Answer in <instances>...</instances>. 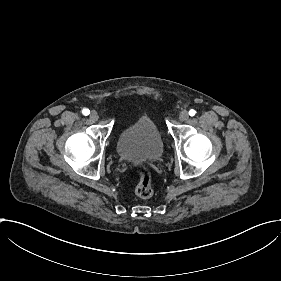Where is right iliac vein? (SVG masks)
<instances>
[{"label":"right iliac vein","mask_w":281,"mask_h":281,"mask_svg":"<svg viewBox=\"0 0 281 281\" xmlns=\"http://www.w3.org/2000/svg\"><path fill=\"white\" fill-rule=\"evenodd\" d=\"M90 116H91V117H90L91 120L94 121V122L97 121L98 118H99L98 115H97V113H96L95 111H92V112L90 113Z\"/></svg>","instance_id":"obj_1"}]
</instances>
